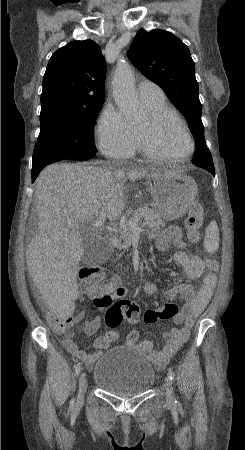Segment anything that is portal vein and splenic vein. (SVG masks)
Segmentation results:
<instances>
[{
    "label": "portal vein and splenic vein",
    "instance_id": "portal-vein-and-splenic-vein-1",
    "mask_svg": "<svg viewBox=\"0 0 245 450\" xmlns=\"http://www.w3.org/2000/svg\"><path fill=\"white\" fill-rule=\"evenodd\" d=\"M106 218V212L104 210H101L99 213V219L94 223V227H98L102 224V222L105 220ZM138 221L139 219H133V220H129L128 225L130 226L131 230L133 231H139L140 228L138 226ZM70 228H74L73 224H69Z\"/></svg>",
    "mask_w": 245,
    "mask_h": 450
}]
</instances>
